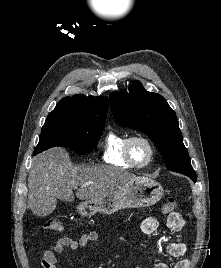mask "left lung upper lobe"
I'll return each mask as SVG.
<instances>
[{"label": "left lung upper lobe", "mask_w": 221, "mask_h": 268, "mask_svg": "<svg viewBox=\"0 0 221 268\" xmlns=\"http://www.w3.org/2000/svg\"><path fill=\"white\" fill-rule=\"evenodd\" d=\"M109 100L115 121L146 133L161 152L169 170L182 174L194 171L175 112L161 95L146 91L140 82L134 81L129 93L113 92Z\"/></svg>", "instance_id": "1"}]
</instances>
